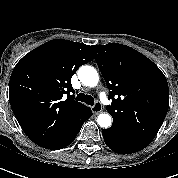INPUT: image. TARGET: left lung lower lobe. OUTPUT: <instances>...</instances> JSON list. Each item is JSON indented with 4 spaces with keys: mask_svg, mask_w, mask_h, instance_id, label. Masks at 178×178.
<instances>
[{
    "mask_svg": "<svg viewBox=\"0 0 178 178\" xmlns=\"http://www.w3.org/2000/svg\"><path fill=\"white\" fill-rule=\"evenodd\" d=\"M106 145L120 154L135 153L145 148L149 143L140 141L110 127L102 131Z\"/></svg>",
    "mask_w": 178,
    "mask_h": 178,
    "instance_id": "0a47b994",
    "label": "left lung lower lobe"
}]
</instances>
